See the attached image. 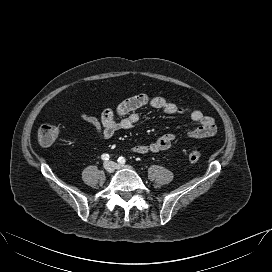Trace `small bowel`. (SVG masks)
Returning <instances> with one entry per match:
<instances>
[{"instance_id": "small-bowel-1", "label": "small bowel", "mask_w": 272, "mask_h": 272, "mask_svg": "<svg viewBox=\"0 0 272 272\" xmlns=\"http://www.w3.org/2000/svg\"><path fill=\"white\" fill-rule=\"evenodd\" d=\"M142 107L160 109L167 115L177 113L188 115L197 124L195 128L186 133V136L191 139L212 136L217 130L214 120L204 115L201 110L193 108L188 104L178 105L163 97L147 94L130 97L115 108L105 109L100 118L85 113L81 114L80 117L83 121L94 127L100 138L109 140L116 132L133 128L140 119L137 110ZM176 138L177 135L175 133L162 134L149 143L133 145L130 150L138 154L165 152L171 149Z\"/></svg>"}]
</instances>
